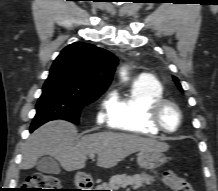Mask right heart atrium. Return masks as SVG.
I'll return each instance as SVG.
<instances>
[{"instance_id": "right-heart-atrium-1", "label": "right heart atrium", "mask_w": 218, "mask_h": 191, "mask_svg": "<svg viewBox=\"0 0 218 191\" xmlns=\"http://www.w3.org/2000/svg\"><path fill=\"white\" fill-rule=\"evenodd\" d=\"M117 96L114 92H110L103 100L99 112L97 114V122L103 124L108 122L111 114L116 106Z\"/></svg>"}]
</instances>
